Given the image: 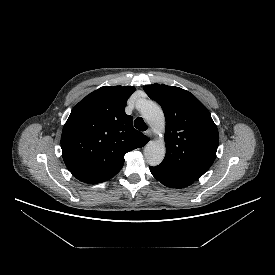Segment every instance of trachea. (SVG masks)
<instances>
[{"instance_id":"3493384b","label":"trachea","mask_w":275,"mask_h":275,"mask_svg":"<svg viewBox=\"0 0 275 275\" xmlns=\"http://www.w3.org/2000/svg\"><path fill=\"white\" fill-rule=\"evenodd\" d=\"M134 126L140 131H146L147 125L141 117L135 119Z\"/></svg>"}]
</instances>
